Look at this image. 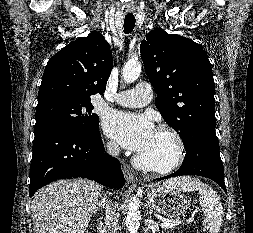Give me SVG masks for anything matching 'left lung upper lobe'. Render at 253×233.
<instances>
[{"label": "left lung upper lobe", "instance_id": "1", "mask_svg": "<svg viewBox=\"0 0 253 233\" xmlns=\"http://www.w3.org/2000/svg\"><path fill=\"white\" fill-rule=\"evenodd\" d=\"M140 52L146 74L156 88V107L183 144L201 130L215 132V83L203 48L156 28L141 42Z\"/></svg>", "mask_w": 253, "mask_h": 233}]
</instances>
